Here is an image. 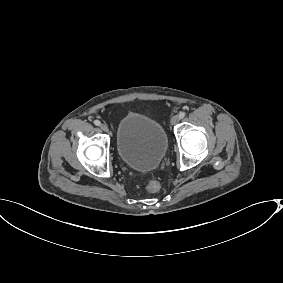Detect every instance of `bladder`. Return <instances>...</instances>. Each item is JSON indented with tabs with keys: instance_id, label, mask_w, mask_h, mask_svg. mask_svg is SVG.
<instances>
[{
	"instance_id": "obj_1",
	"label": "bladder",
	"mask_w": 283,
	"mask_h": 283,
	"mask_svg": "<svg viewBox=\"0 0 283 283\" xmlns=\"http://www.w3.org/2000/svg\"><path fill=\"white\" fill-rule=\"evenodd\" d=\"M168 144L169 138L162 124L138 112L124 115L116 127L117 154L132 169L151 170L159 166Z\"/></svg>"
}]
</instances>
